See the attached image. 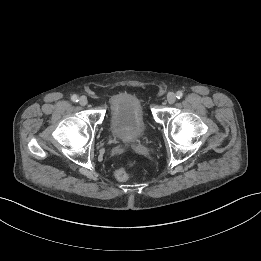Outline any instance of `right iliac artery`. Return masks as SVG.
Instances as JSON below:
<instances>
[{
	"label": "right iliac artery",
	"instance_id": "82829eb1",
	"mask_svg": "<svg viewBox=\"0 0 261 261\" xmlns=\"http://www.w3.org/2000/svg\"><path fill=\"white\" fill-rule=\"evenodd\" d=\"M71 99H72L73 102H78V101H79L77 95H73V96L71 97Z\"/></svg>",
	"mask_w": 261,
	"mask_h": 261
}]
</instances>
